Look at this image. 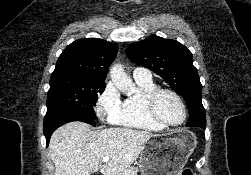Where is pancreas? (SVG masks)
Masks as SVG:
<instances>
[{
  "instance_id": "1",
  "label": "pancreas",
  "mask_w": 251,
  "mask_h": 175,
  "mask_svg": "<svg viewBox=\"0 0 251 175\" xmlns=\"http://www.w3.org/2000/svg\"><path fill=\"white\" fill-rule=\"evenodd\" d=\"M138 167L131 165V167H125V169H119L117 175H138Z\"/></svg>"
}]
</instances>
